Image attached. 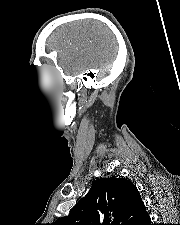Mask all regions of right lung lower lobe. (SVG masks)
Wrapping results in <instances>:
<instances>
[{
	"instance_id": "obj_1",
	"label": "right lung lower lobe",
	"mask_w": 180,
	"mask_h": 225,
	"mask_svg": "<svg viewBox=\"0 0 180 225\" xmlns=\"http://www.w3.org/2000/svg\"><path fill=\"white\" fill-rule=\"evenodd\" d=\"M147 225H152V224L149 222V223H147Z\"/></svg>"
}]
</instances>
